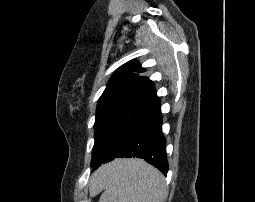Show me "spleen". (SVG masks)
Returning a JSON list of instances; mask_svg holds the SVG:
<instances>
[{"instance_id": "spleen-1", "label": "spleen", "mask_w": 255, "mask_h": 202, "mask_svg": "<svg viewBox=\"0 0 255 202\" xmlns=\"http://www.w3.org/2000/svg\"><path fill=\"white\" fill-rule=\"evenodd\" d=\"M94 183L103 190L99 202H161L165 193L163 175L139 159L112 162L96 173Z\"/></svg>"}]
</instances>
